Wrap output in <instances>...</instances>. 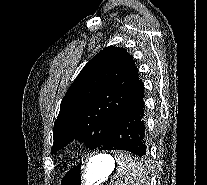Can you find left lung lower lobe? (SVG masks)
Segmentation results:
<instances>
[{
    "label": "left lung lower lobe",
    "mask_w": 207,
    "mask_h": 185,
    "mask_svg": "<svg viewBox=\"0 0 207 185\" xmlns=\"http://www.w3.org/2000/svg\"><path fill=\"white\" fill-rule=\"evenodd\" d=\"M144 94L142 93L116 119L101 150H125L146 155Z\"/></svg>",
    "instance_id": "left-lung-lower-lobe-1"
}]
</instances>
